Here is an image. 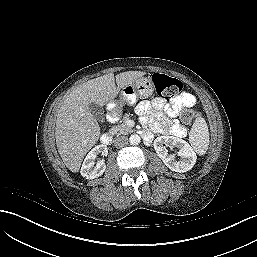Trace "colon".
<instances>
[{
    "label": "colon",
    "mask_w": 257,
    "mask_h": 257,
    "mask_svg": "<svg viewBox=\"0 0 257 257\" xmlns=\"http://www.w3.org/2000/svg\"><path fill=\"white\" fill-rule=\"evenodd\" d=\"M152 81L156 93L163 99L171 98L182 90V83L178 79L165 74H154ZM197 115L198 112L196 110L186 108L181 112V119L185 123H190Z\"/></svg>",
    "instance_id": "obj_1"
}]
</instances>
